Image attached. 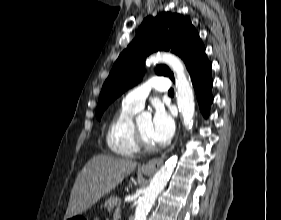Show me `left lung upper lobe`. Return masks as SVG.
<instances>
[{"mask_svg":"<svg viewBox=\"0 0 281 220\" xmlns=\"http://www.w3.org/2000/svg\"><path fill=\"white\" fill-rule=\"evenodd\" d=\"M158 50L179 55L186 65L193 58L205 53L199 34L188 18L169 12L145 18L134 40L114 63L102 87L96 109L98 120L114 99L140 81L143 61ZM156 73L174 80L173 73L165 65L157 66Z\"/></svg>","mask_w":281,"mask_h":220,"instance_id":"obj_1","label":"left lung upper lobe"}]
</instances>
